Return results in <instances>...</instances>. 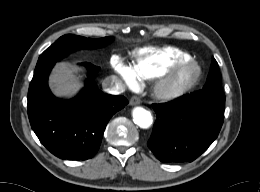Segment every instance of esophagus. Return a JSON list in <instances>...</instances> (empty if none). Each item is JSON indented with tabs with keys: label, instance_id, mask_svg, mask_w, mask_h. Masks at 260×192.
I'll list each match as a JSON object with an SVG mask.
<instances>
[{
	"label": "esophagus",
	"instance_id": "34e87169",
	"mask_svg": "<svg viewBox=\"0 0 260 192\" xmlns=\"http://www.w3.org/2000/svg\"><path fill=\"white\" fill-rule=\"evenodd\" d=\"M141 100L139 97L137 96H133L131 99H130V105L132 106H135V105H138L140 104Z\"/></svg>",
	"mask_w": 260,
	"mask_h": 192
}]
</instances>
